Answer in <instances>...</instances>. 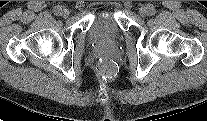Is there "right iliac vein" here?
Here are the masks:
<instances>
[{"mask_svg": "<svg viewBox=\"0 0 207 121\" xmlns=\"http://www.w3.org/2000/svg\"><path fill=\"white\" fill-rule=\"evenodd\" d=\"M70 12L67 8L63 7L61 8V13L60 15L63 16L64 18H67L69 16Z\"/></svg>", "mask_w": 207, "mask_h": 121, "instance_id": "1", "label": "right iliac vein"}]
</instances>
